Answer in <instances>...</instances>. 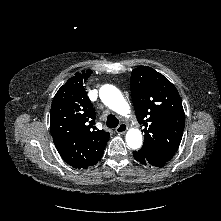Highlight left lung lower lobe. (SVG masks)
Masks as SVG:
<instances>
[{
	"mask_svg": "<svg viewBox=\"0 0 221 221\" xmlns=\"http://www.w3.org/2000/svg\"><path fill=\"white\" fill-rule=\"evenodd\" d=\"M133 156L134 158L139 161L141 164H144V165H150L147 160L141 155L139 154L138 152H133Z\"/></svg>",
	"mask_w": 221,
	"mask_h": 221,
	"instance_id": "0a47b994",
	"label": "left lung lower lobe"
}]
</instances>
